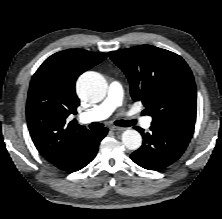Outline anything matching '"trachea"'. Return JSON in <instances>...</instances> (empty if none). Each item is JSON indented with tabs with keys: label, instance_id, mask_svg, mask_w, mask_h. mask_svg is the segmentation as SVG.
<instances>
[{
	"label": "trachea",
	"instance_id": "trachea-1",
	"mask_svg": "<svg viewBox=\"0 0 222 219\" xmlns=\"http://www.w3.org/2000/svg\"><path fill=\"white\" fill-rule=\"evenodd\" d=\"M115 124L117 126L130 127V126L135 125L136 121L135 120H117V121H115ZM102 126H103L102 123L93 122L88 127L90 129H96V128H100Z\"/></svg>",
	"mask_w": 222,
	"mask_h": 219
}]
</instances>
